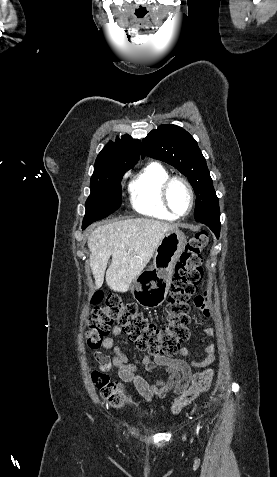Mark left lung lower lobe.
<instances>
[{
    "label": "left lung lower lobe",
    "instance_id": "obj_1",
    "mask_svg": "<svg viewBox=\"0 0 277 477\" xmlns=\"http://www.w3.org/2000/svg\"><path fill=\"white\" fill-rule=\"evenodd\" d=\"M201 223L207 225L215 233L216 237L219 238L221 227L220 217L201 220Z\"/></svg>",
    "mask_w": 277,
    "mask_h": 477
}]
</instances>
